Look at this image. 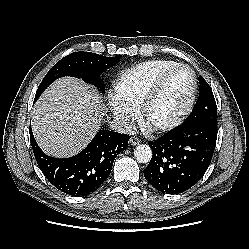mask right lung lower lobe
Returning <instances> with one entry per match:
<instances>
[{"instance_id":"right-lung-lower-lobe-1","label":"right lung lower lobe","mask_w":249,"mask_h":249,"mask_svg":"<svg viewBox=\"0 0 249 249\" xmlns=\"http://www.w3.org/2000/svg\"><path fill=\"white\" fill-rule=\"evenodd\" d=\"M29 133L34 156L45 177L57 189L73 196H86L101 187L115 157L127 148L130 138L126 134L99 130L81 153L60 159L46 155L39 148L31 127Z\"/></svg>"}]
</instances>
